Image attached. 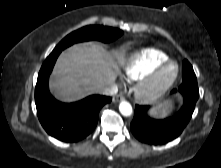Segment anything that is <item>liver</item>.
Listing matches in <instances>:
<instances>
[{
    "instance_id": "1",
    "label": "liver",
    "mask_w": 221,
    "mask_h": 168,
    "mask_svg": "<svg viewBox=\"0 0 221 168\" xmlns=\"http://www.w3.org/2000/svg\"><path fill=\"white\" fill-rule=\"evenodd\" d=\"M124 61L122 50L106 51L101 45H74L58 58L49 86L63 102H73L100 92L113 83L118 64Z\"/></svg>"
}]
</instances>
